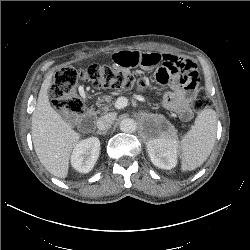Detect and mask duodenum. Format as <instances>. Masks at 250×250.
Listing matches in <instances>:
<instances>
[{
	"label": "duodenum",
	"mask_w": 250,
	"mask_h": 250,
	"mask_svg": "<svg viewBox=\"0 0 250 250\" xmlns=\"http://www.w3.org/2000/svg\"><path fill=\"white\" fill-rule=\"evenodd\" d=\"M94 118H95V112L93 110H89L82 120V125L87 129L91 128L94 123Z\"/></svg>",
	"instance_id": "410a0bca"
}]
</instances>
